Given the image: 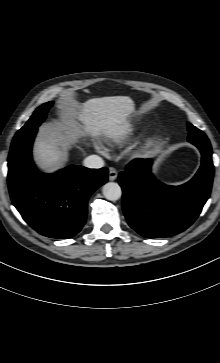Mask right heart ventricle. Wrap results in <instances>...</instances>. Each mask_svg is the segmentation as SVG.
Wrapping results in <instances>:
<instances>
[{
	"label": "right heart ventricle",
	"mask_w": 220,
	"mask_h": 363,
	"mask_svg": "<svg viewBox=\"0 0 220 363\" xmlns=\"http://www.w3.org/2000/svg\"><path fill=\"white\" fill-rule=\"evenodd\" d=\"M135 124L131 121H121L111 127L105 137L107 141L114 144H122L126 142L135 132Z\"/></svg>",
	"instance_id": "right-heart-ventricle-1"
}]
</instances>
